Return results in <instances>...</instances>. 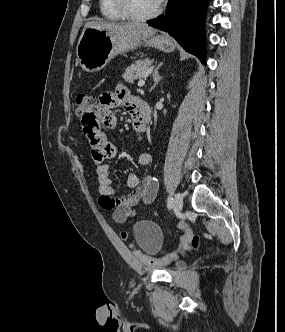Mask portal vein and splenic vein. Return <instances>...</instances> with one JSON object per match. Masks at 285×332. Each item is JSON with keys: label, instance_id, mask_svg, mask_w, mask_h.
<instances>
[{"label": "portal vein and splenic vein", "instance_id": "obj_1", "mask_svg": "<svg viewBox=\"0 0 285 332\" xmlns=\"http://www.w3.org/2000/svg\"><path fill=\"white\" fill-rule=\"evenodd\" d=\"M148 72L145 74L144 78H146L148 76ZM145 85V79H140L138 82V86L139 87H143Z\"/></svg>", "mask_w": 285, "mask_h": 332}]
</instances>
